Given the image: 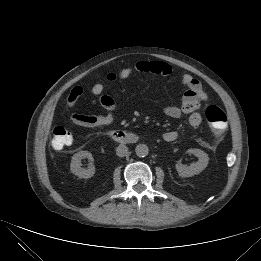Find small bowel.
<instances>
[{
    "label": "small bowel",
    "mask_w": 261,
    "mask_h": 261,
    "mask_svg": "<svg viewBox=\"0 0 261 261\" xmlns=\"http://www.w3.org/2000/svg\"><path fill=\"white\" fill-rule=\"evenodd\" d=\"M133 72L169 76L172 73V67L169 64L160 61H140L131 67L122 69L118 74V78L120 80H125L130 77ZM181 83L185 86L186 90L180 105H168L164 108V113L168 117L174 119L180 118L184 114L189 115V124L192 127H198L202 122L198 110L200 108V103L207 100V94L203 90L201 83L189 74L182 75ZM104 89L105 86L102 83H95L91 87V93L92 95L97 96L92 100V103L94 105H100L105 112L99 115L73 113L70 117L72 123L81 127H100L111 125L114 122V114L117 105L112 97L102 95ZM82 94L83 88L81 86L73 87L67 97L68 106L74 107ZM162 137L166 142H173L177 139L178 133L174 130H168L163 133Z\"/></svg>",
    "instance_id": "obj_1"
}]
</instances>
